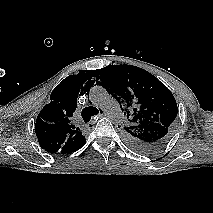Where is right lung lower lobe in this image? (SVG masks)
Returning a JSON list of instances; mask_svg holds the SVG:
<instances>
[{
    "label": "right lung lower lobe",
    "instance_id": "obj_1",
    "mask_svg": "<svg viewBox=\"0 0 213 213\" xmlns=\"http://www.w3.org/2000/svg\"><path fill=\"white\" fill-rule=\"evenodd\" d=\"M85 142H86V140L81 144V146H79L76 150H74V151H77L78 149H80L84 144H85ZM73 151V152H74Z\"/></svg>",
    "mask_w": 213,
    "mask_h": 213
}]
</instances>
